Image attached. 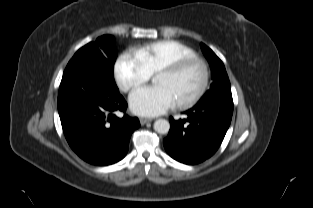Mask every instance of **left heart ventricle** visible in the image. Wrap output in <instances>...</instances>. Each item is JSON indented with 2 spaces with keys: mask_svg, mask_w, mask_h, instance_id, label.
Listing matches in <instances>:
<instances>
[{
  "mask_svg": "<svg viewBox=\"0 0 313 208\" xmlns=\"http://www.w3.org/2000/svg\"><path fill=\"white\" fill-rule=\"evenodd\" d=\"M201 78L200 67L192 65L176 75L157 74L154 81L156 85L167 88L176 102L194 94L200 85Z\"/></svg>",
  "mask_w": 313,
  "mask_h": 208,
  "instance_id": "obj_1",
  "label": "left heart ventricle"
}]
</instances>
